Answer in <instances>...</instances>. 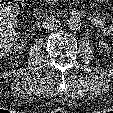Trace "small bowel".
Returning <instances> with one entry per match:
<instances>
[{"label":"small bowel","instance_id":"c3829d8e","mask_svg":"<svg viewBox=\"0 0 113 113\" xmlns=\"http://www.w3.org/2000/svg\"><path fill=\"white\" fill-rule=\"evenodd\" d=\"M89 19L91 22L100 28L105 34L113 36V24H109L105 19L97 14H90Z\"/></svg>","mask_w":113,"mask_h":113}]
</instances>
